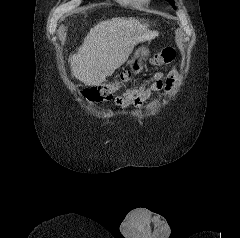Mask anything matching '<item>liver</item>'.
<instances>
[{"label":"liver","instance_id":"1","mask_svg":"<svg viewBox=\"0 0 240 238\" xmlns=\"http://www.w3.org/2000/svg\"><path fill=\"white\" fill-rule=\"evenodd\" d=\"M148 27L135 18H113L98 23L71 58L73 76L86 86L102 84L127 61L135 45L158 34Z\"/></svg>","mask_w":240,"mask_h":238}]
</instances>
